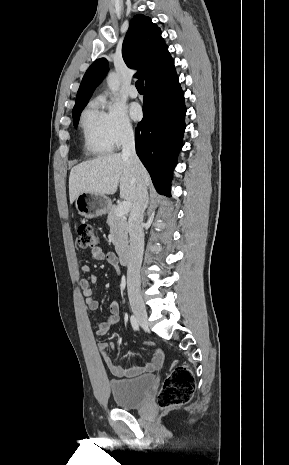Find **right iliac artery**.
Instances as JSON below:
<instances>
[{
    "instance_id": "82829eb1",
    "label": "right iliac artery",
    "mask_w": 289,
    "mask_h": 465,
    "mask_svg": "<svg viewBox=\"0 0 289 465\" xmlns=\"http://www.w3.org/2000/svg\"><path fill=\"white\" fill-rule=\"evenodd\" d=\"M130 321H131V325H132L133 329L135 331L138 330V321H137V319H136V317L134 315H131Z\"/></svg>"
}]
</instances>
